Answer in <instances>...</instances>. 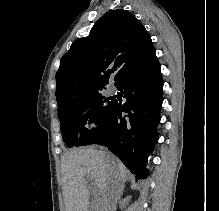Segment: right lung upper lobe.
Wrapping results in <instances>:
<instances>
[{"label":"right lung upper lobe","instance_id":"1","mask_svg":"<svg viewBox=\"0 0 219 211\" xmlns=\"http://www.w3.org/2000/svg\"><path fill=\"white\" fill-rule=\"evenodd\" d=\"M155 57L150 35L135 16L123 9L110 11L62 57L56 73L58 105L99 93L113 73L116 86Z\"/></svg>","mask_w":219,"mask_h":211}]
</instances>
